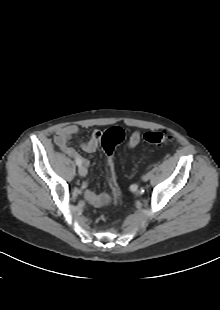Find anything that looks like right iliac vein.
Wrapping results in <instances>:
<instances>
[{"mask_svg":"<svg viewBox=\"0 0 220 310\" xmlns=\"http://www.w3.org/2000/svg\"><path fill=\"white\" fill-rule=\"evenodd\" d=\"M78 172L82 177H85L87 175V169L84 166H80Z\"/></svg>","mask_w":220,"mask_h":310,"instance_id":"1","label":"right iliac vein"}]
</instances>
